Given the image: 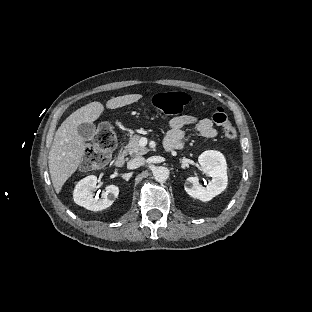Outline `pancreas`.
<instances>
[{"mask_svg":"<svg viewBox=\"0 0 312 312\" xmlns=\"http://www.w3.org/2000/svg\"><path fill=\"white\" fill-rule=\"evenodd\" d=\"M141 139V136L138 134H134L130 136L128 146L126 148V153H128L130 156H141L148 152V149H146L144 146H141L139 144V141Z\"/></svg>","mask_w":312,"mask_h":312,"instance_id":"obj_1","label":"pancreas"}]
</instances>
